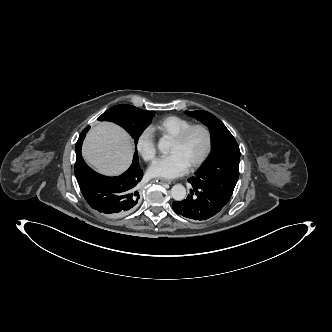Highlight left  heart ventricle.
Returning a JSON list of instances; mask_svg holds the SVG:
<instances>
[{"label":"left heart ventricle","instance_id":"b2bd125f","mask_svg":"<svg viewBox=\"0 0 332 332\" xmlns=\"http://www.w3.org/2000/svg\"><path fill=\"white\" fill-rule=\"evenodd\" d=\"M206 136L200 129H196L190 133L186 141L182 144L172 142L170 153L179 154L188 165L197 159L205 149Z\"/></svg>","mask_w":332,"mask_h":332}]
</instances>
